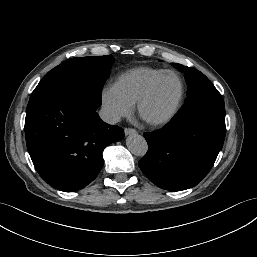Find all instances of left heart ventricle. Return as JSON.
<instances>
[{"label": "left heart ventricle", "instance_id": "1", "mask_svg": "<svg viewBox=\"0 0 257 257\" xmlns=\"http://www.w3.org/2000/svg\"><path fill=\"white\" fill-rule=\"evenodd\" d=\"M180 93V83L173 75H166L143 107V116L149 120L165 117L173 109Z\"/></svg>", "mask_w": 257, "mask_h": 257}]
</instances>
